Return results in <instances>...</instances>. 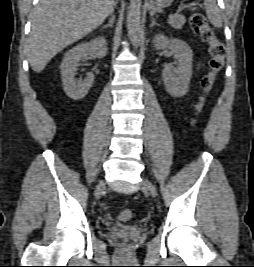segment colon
Listing matches in <instances>:
<instances>
[{
	"label": "colon",
	"mask_w": 254,
	"mask_h": 267,
	"mask_svg": "<svg viewBox=\"0 0 254 267\" xmlns=\"http://www.w3.org/2000/svg\"><path fill=\"white\" fill-rule=\"evenodd\" d=\"M191 11L192 13L189 19L190 26L192 30L208 45V53L210 57L208 62L209 71L203 77L201 82L203 94L196 106V116L193 119V124H196L197 117L204 107L207 95L213 88L216 77L224 66L226 50L224 44L215 36L214 30L209 24L208 19L203 13L198 11L197 5L193 4L191 6ZM118 218L121 221L129 220L131 218V211L129 209H122L118 214Z\"/></svg>",
	"instance_id": "1"
}]
</instances>
